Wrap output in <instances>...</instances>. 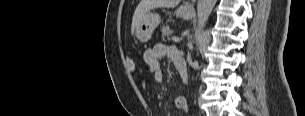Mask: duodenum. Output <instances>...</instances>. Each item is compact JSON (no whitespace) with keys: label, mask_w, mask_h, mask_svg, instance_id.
Here are the masks:
<instances>
[{"label":"duodenum","mask_w":305,"mask_h":116,"mask_svg":"<svg viewBox=\"0 0 305 116\" xmlns=\"http://www.w3.org/2000/svg\"><path fill=\"white\" fill-rule=\"evenodd\" d=\"M174 64H175L176 69H177V71L179 73L181 81L183 82V84H187V82H188V73H187V66H186V62H185L184 58H182V57L177 58L174 61Z\"/></svg>","instance_id":"410a0bca"}]
</instances>
